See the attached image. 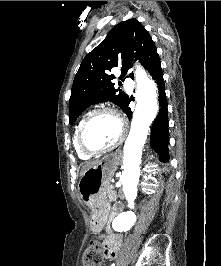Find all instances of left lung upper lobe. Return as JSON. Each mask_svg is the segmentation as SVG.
Listing matches in <instances>:
<instances>
[{"mask_svg": "<svg viewBox=\"0 0 221 266\" xmlns=\"http://www.w3.org/2000/svg\"><path fill=\"white\" fill-rule=\"evenodd\" d=\"M133 58L139 60L148 71L160 61L149 33L138 20L129 19L113 27L106 38L83 59L72 85L70 124L92 104L111 101L125 109L129 97L114 87L111 80L115 77L109 72L113 67L121 66L120 79L123 80L132 67ZM129 76L134 79L133 73Z\"/></svg>", "mask_w": 221, "mask_h": 266, "instance_id": "1", "label": "left lung upper lobe"}]
</instances>
